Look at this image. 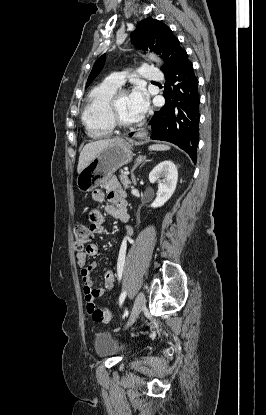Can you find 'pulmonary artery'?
Instances as JSON below:
<instances>
[{
	"label": "pulmonary artery",
	"instance_id": "1",
	"mask_svg": "<svg viewBox=\"0 0 266 415\" xmlns=\"http://www.w3.org/2000/svg\"><path fill=\"white\" fill-rule=\"evenodd\" d=\"M141 74L142 77L147 80L161 81L163 79V75L159 69L152 65H143L141 67ZM105 82L110 85L120 87L124 83V75L117 72L112 73L105 79Z\"/></svg>",
	"mask_w": 266,
	"mask_h": 415
}]
</instances>
